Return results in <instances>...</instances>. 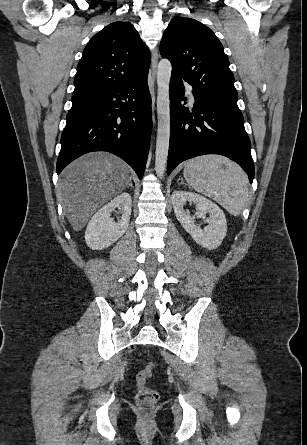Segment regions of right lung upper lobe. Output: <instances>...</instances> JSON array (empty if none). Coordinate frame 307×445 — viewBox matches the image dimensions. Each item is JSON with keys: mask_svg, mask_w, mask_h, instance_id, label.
Wrapping results in <instances>:
<instances>
[{"mask_svg": "<svg viewBox=\"0 0 307 445\" xmlns=\"http://www.w3.org/2000/svg\"><path fill=\"white\" fill-rule=\"evenodd\" d=\"M150 59L148 47L131 23H111L86 45L72 97L132 81L148 73Z\"/></svg>", "mask_w": 307, "mask_h": 445, "instance_id": "obj_1", "label": "right lung upper lobe"}]
</instances>
